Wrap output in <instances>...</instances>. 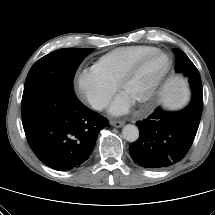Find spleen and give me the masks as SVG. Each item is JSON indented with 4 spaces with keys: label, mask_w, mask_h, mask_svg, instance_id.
<instances>
[{
    "label": "spleen",
    "mask_w": 215,
    "mask_h": 215,
    "mask_svg": "<svg viewBox=\"0 0 215 215\" xmlns=\"http://www.w3.org/2000/svg\"><path fill=\"white\" fill-rule=\"evenodd\" d=\"M168 105L177 111L187 109L193 100L189 81L180 75L170 77L164 86Z\"/></svg>",
    "instance_id": "3e777b00"
}]
</instances>
